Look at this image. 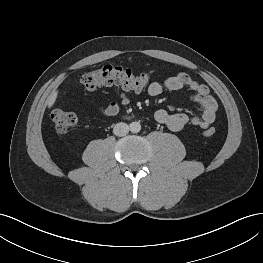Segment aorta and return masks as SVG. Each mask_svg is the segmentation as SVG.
Segmentation results:
<instances>
[{
    "mask_svg": "<svg viewBox=\"0 0 263 263\" xmlns=\"http://www.w3.org/2000/svg\"><path fill=\"white\" fill-rule=\"evenodd\" d=\"M130 131L132 132V133H138V132H140V130H141V125H140V123L139 122H132V123H130Z\"/></svg>",
    "mask_w": 263,
    "mask_h": 263,
    "instance_id": "762f6f07",
    "label": "aorta"
}]
</instances>
